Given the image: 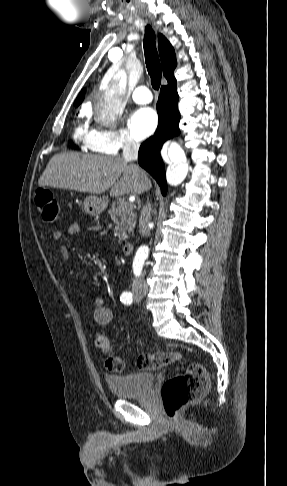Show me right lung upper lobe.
Here are the masks:
<instances>
[{
	"mask_svg": "<svg viewBox=\"0 0 287 486\" xmlns=\"http://www.w3.org/2000/svg\"><path fill=\"white\" fill-rule=\"evenodd\" d=\"M159 54L162 63L163 74L167 79L168 83L175 82V78L173 75L174 69L176 67V57L175 52L171 44L168 40L162 35L159 34ZM85 89L80 92L77 99L74 102L75 106H78L84 99Z\"/></svg>",
	"mask_w": 287,
	"mask_h": 486,
	"instance_id": "right-lung-upper-lobe-1",
	"label": "right lung upper lobe"
}]
</instances>
